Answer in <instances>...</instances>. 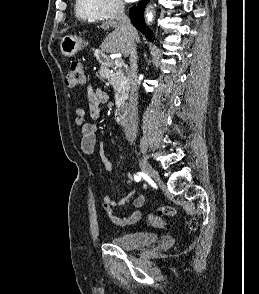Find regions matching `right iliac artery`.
<instances>
[{
  "label": "right iliac artery",
  "mask_w": 259,
  "mask_h": 294,
  "mask_svg": "<svg viewBox=\"0 0 259 294\" xmlns=\"http://www.w3.org/2000/svg\"><path fill=\"white\" fill-rule=\"evenodd\" d=\"M141 176L144 177V178L147 177V175L144 174V173H137V174L134 176L135 181H137V182L140 181V180H141Z\"/></svg>",
  "instance_id": "82829eb1"
}]
</instances>
